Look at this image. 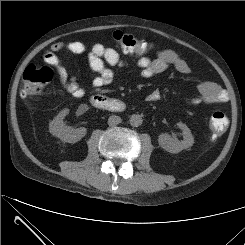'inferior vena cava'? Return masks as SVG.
<instances>
[{
  "label": "inferior vena cava",
  "mask_w": 245,
  "mask_h": 245,
  "mask_svg": "<svg viewBox=\"0 0 245 245\" xmlns=\"http://www.w3.org/2000/svg\"><path fill=\"white\" fill-rule=\"evenodd\" d=\"M122 119L117 115H112L108 118V125L115 126L121 123Z\"/></svg>",
  "instance_id": "1"
}]
</instances>
